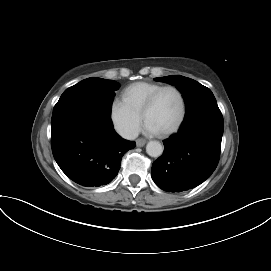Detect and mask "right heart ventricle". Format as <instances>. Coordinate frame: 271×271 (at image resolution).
<instances>
[{"label":"right heart ventricle","instance_id":"right-heart-ventricle-1","mask_svg":"<svg viewBox=\"0 0 271 271\" xmlns=\"http://www.w3.org/2000/svg\"><path fill=\"white\" fill-rule=\"evenodd\" d=\"M161 84L149 81H139L128 85L122 91V100L136 113L142 114V109L148 98Z\"/></svg>","mask_w":271,"mask_h":271}]
</instances>
